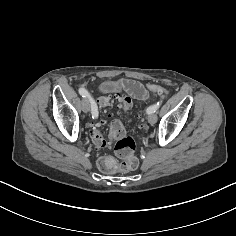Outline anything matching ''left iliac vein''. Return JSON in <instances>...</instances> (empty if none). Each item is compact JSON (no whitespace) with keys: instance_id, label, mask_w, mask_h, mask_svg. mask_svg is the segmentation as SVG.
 I'll return each instance as SVG.
<instances>
[{"instance_id":"obj_1","label":"left iliac vein","mask_w":236,"mask_h":236,"mask_svg":"<svg viewBox=\"0 0 236 236\" xmlns=\"http://www.w3.org/2000/svg\"><path fill=\"white\" fill-rule=\"evenodd\" d=\"M157 119H158V117L154 113H151V114L148 115V122L150 124H155L157 122Z\"/></svg>"}]
</instances>
